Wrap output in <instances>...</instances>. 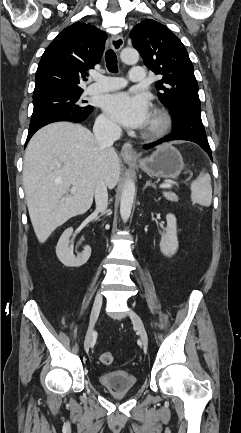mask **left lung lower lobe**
I'll use <instances>...</instances> for the list:
<instances>
[{
  "label": "left lung lower lobe",
  "mask_w": 241,
  "mask_h": 433,
  "mask_svg": "<svg viewBox=\"0 0 241 433\" xmlns=\"http://www.w3.org/2000/svg\"><path fill=\"white\" fill-rule=\"evenodd\" d=\"M172 140H187V141L194 142V143L200 145L208 153V155L212 159L211 149H210L209 145L203 144V143H201L199 141H196V140H193V139H191L189 137L182 136V135H177V134H171V135H168V136H166L165 138H163V139H161L159 141H156V142H153V143H150V144H146V145H144V148L145 149H149V148H152V147H154L156 145H159V144H161L163 142H168V141H172Z\"/></svg>",
  "instance_id": "1"
}]
</instances>
